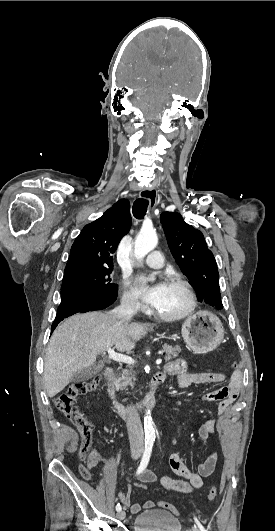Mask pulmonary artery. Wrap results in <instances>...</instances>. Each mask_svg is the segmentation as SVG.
Here are the masks:
<instances>
[{
  "mask_svg": "<svg viewBox=\"0 0 275 531\" xmlns=\"http://www.w3.org/2000/svg\"><path fill=\"white\" fill-rule=\"evenodd\" d=\"M146 262L150 265L151 269L154 266H158L161 268V264L163 263V256L158 252H154V255L146 259Z\"/></svg>",
  "mask_w": 275,
  "mask_h": 531,
  "instance_id": "e3ab8cb5",
  "label": "pulmonary artery"
}]
</instances>
